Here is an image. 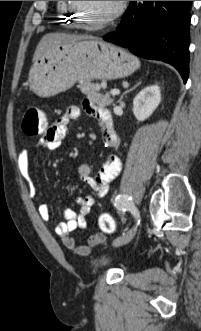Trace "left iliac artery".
Returning <instances> with one entry per match:
<instances>
[{"instance_id": "obj_1", "label": "left iliac artery", "mask_w": 201, "mask_h": 331, "mask_svg": "<svg viewBox=\"0 0 201 331\" xmlns=\"http://www.w3.org/2000/svg\"><path fill=\"white\" fill-rule=\"evenodd\" d=\"M115 206L123 212L126 210L130 211L131 214L136 218L137 224L140 223L139 211L130 197L118 195L115 200Z\"/></svg>"}]
</instances>
